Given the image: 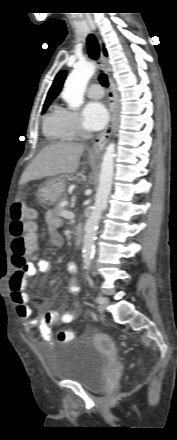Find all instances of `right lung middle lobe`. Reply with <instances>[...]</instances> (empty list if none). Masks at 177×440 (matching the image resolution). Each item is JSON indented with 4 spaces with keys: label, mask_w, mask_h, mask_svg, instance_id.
<instances>
[{
    "label": "right lung middle lobe",
    "mask_w": 177,
    "mask_h": 440,
    "mask_svg": "<svg viewBox=\"0 0 177 440\" xmlns=\"http://www.w3.org/2000/svg\"><path fill=\"white\" fill-rule=\"evenodd\" d=\"M49 104H50L49 102L44 103L43 109H42V113H44L46 111V109L48 108Z\"/></svg>",
    "instance_id": "1"
}]
</instances>
